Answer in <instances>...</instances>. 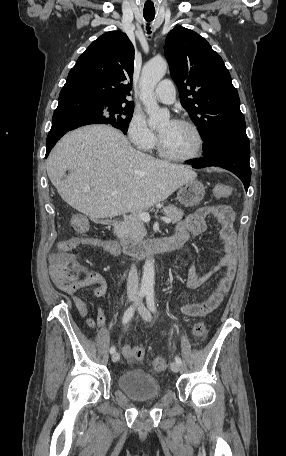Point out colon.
Here are the masks:
<instances>
[{"label": "colon", "mask_w": 286, "mask_h": 456, "mask_svg": "<svg viewBox=\"0 0 286 456\" xmlns=\"http://www.w3.org/2000/svg\"><path fill=\"white\" fill-rule=\"evenodd\" d=\"M215 197H227L231 194V188L228 185H217L213 188ZM73 227L78 233H86L88 224L83 217L76 216L73 220ZM67 252L68 248L61 249ZM51 274L55 282L69 290H76L85 280L86 272L79 265L77 260L69 254L62 253L54 256L51 262ZM193 335L200 339L206 334V325L202 322L196 323L193 326ZM130 360H142L145 357V348L136 346L132 351L127 353ZM166 361L161 358H155L153 367L155 371L162 372L165 370Z\"/></svg>", "instance_id": "obj_1"}]
</instances>
